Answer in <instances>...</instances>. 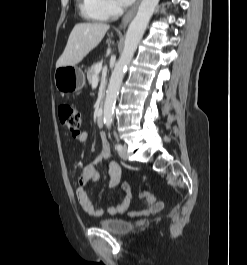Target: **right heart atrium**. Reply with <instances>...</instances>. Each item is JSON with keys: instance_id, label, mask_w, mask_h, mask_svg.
<instances>
[{"instance_id": "d8ad5b80", "label": "right heart atrium", "mask_w": 247, "mask_h": 265, "mask_svg": "<svg viewBox=\"0 0 247 265\" xmlns=\"http://www.w3.org/2000/svg\"><path fill=\"white\" fill-rule=\"evenodd\" d=\"M92 8L105 18H111L120 12L116 0H91Z\"/></svg>"}]
</instances>
